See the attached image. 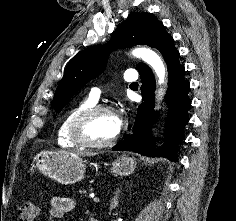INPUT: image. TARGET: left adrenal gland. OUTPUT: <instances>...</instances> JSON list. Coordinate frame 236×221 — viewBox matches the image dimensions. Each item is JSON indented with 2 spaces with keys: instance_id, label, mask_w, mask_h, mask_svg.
Here are the masks:
<instances>
[{
  "instance_id": "1",
  "label": "left adrenal gland",
  "mask_w": 236,
  "mask_h": 221,
  "mask_svg": "<svg viewBox=\"0 0 236 221\" xmlns=\"http://www.w3.org/2000/svg\"><path fill=\"white\" fill-rule=\"evenodd\" d=\"M119 193H120V189L118 188L114 193V197L112 198L111 205H110L111 209H115L118 206Z\"/></svg>"
}]
</instances>
